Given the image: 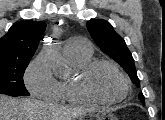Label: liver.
Instances as JSON below:
<instances>
[{"mask_svg":"<svg viewBox=\"0 0 165 120\" xmlns=\"http://www.w3.org/2000/svg\"><path fill=\"white\" fill-rule=\"evenodd\" d=\"M93 108L61 107L57 104L0 95V120H75Z\"/></svg>","mask_w":165,"mask_h":120,"instance_id":"obj_1","label":"liver"}]
</instances>
